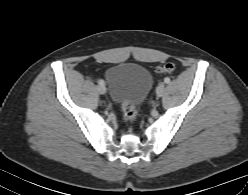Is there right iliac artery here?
<instances>
[{
	"label": "right iliac artery",
	"instance_id": "obj_1",
	"mask_svg": "<svg viewBox=\"0 0 248 195\" xmlns=\"http://www.w3.org/2000/svg\"><path fill=\"white\" fill-rule=\"evenodd\" d=\"M98 83H99L100 85H103V84H104V81H103V80H99Z\"/></svg>",
	"mask_w": 248,
	"mask_h": 195
}]
</instances>
